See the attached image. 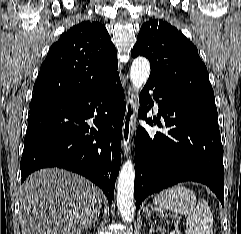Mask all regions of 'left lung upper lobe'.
<instances>
[{
  "label": "left lung upper lobe",
  "instance_id": "obj_1",
  "mask_svg": "<svg viewBox=\"0 0 241 234\" xmlns=\"http://www.w3.org/2000/svg\"><path fill=\"white\" fill-rule=\"evenodd\" d=\"M131 55L148 58L149 78L164 87L215 105L208 72L197 48L171 24L161 19L144 23Z\"/></svg>",
  "mask_w": 241,
  "mask_h": 234
}]
</instances>
